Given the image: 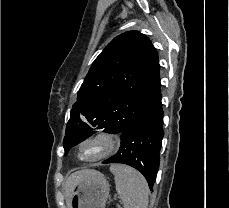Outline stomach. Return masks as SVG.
<instances>
[{
  "mask_svg": "<svg viewBox=\"0 0 229 208\" xmlns=\"http://www.w3.org/2000/svg\"><path fill=\"white\" fill-rule=\"evenodd\" d=\"M109 196V184L105 178L85 180L75 186L68 208H105Z\"/></svg>",
  "mask_w": 229,
  "mask_h": 208,
  "instance_id": "1",
  "label": "stomach"
}]
</instances>
